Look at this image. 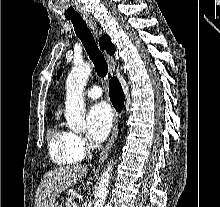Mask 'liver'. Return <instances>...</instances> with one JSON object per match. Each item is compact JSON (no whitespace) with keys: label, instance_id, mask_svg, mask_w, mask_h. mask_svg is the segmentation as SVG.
Instances as JSON below:
<instances>
[{"label":"liver","instance_id":"1","mask_svg":"<svg viewBox=\"0 0 220 207\" xmlns=\"http://www.w3.org/2000/svg\"><path fill=\"white\" fill-rule=\"evenodd\" d=\"M87 172L85 165L58 167L48 171L38 186L35 207H53L58 196Z\"/></svg>","mask_w":220,"mask_h":207}]
</instances>
